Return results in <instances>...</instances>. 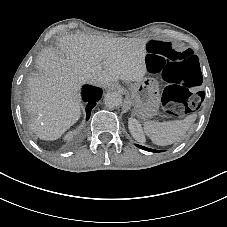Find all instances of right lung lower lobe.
Wrapping results in <instances>:
<instances>
[{
  "instance_id": "98d812e1",
  "label": "right lung lower lobe",
  "mask_w": 227,
  "mask_h": 227,
  "mask_svg": "<svg viewBox=\"0 0 227 227\" xmlns=\"http://www.w3.org/2000/svg\"><path fill=\"white\" fill-rule=\"evenodd\" d=\"M82 95L83 100L87 102L86 115L88 120L92 108L96 105V102L101 98L102 90L94 86L85 85L82 88Z\"/></svg>"
}]
</instances>
